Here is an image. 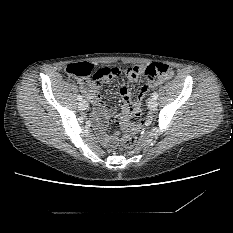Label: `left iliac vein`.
<instances>
[{
  "mask_svg": "<svg viewBox=\"0 0 233 233\" xmlns=\"http://www.w3.org/2000/svg\"><path fill=\"white\" fill-rule=\"evenodd\" d=\"M148 107L150 110H154L157 107V102L156 100L152 99L148 102Z\"/></svg>",
  "mask_w": 233,
  "mask_h": 233,
  "instance_id": "1",
  "label": "left iliac vein"
}]
</instances>
